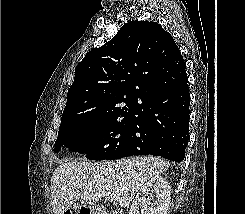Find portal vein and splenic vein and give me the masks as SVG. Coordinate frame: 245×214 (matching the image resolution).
Segmentation results:
<instances>
[{"instance_id":"portal-vein-and-splenic-vein-1","label":"portal vein and splenic vein","mask_w":245,"mask_h":214,"mask_svg":"<svg viewBox=\"0 0 245 214\" xmlns=\"http://www.w3.org/2000/svg\"><path fill=\"white\" fill-rule=\"evenodd\" d=\"M75 186H78V187H81L82 184L79 183V184H74ZM105 199H107L108 201H117L118 200V195H115V194H111V195H107L105 196Z\"/></svg>"}]
</instances>
